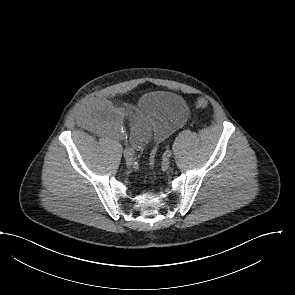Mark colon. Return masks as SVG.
Returning a JSON list of instances; mask_svg holds the SVG:
<instances>
[{"mask_svg": "<svg viewBox=\"0 0 295 295\" xmlns=\"http://www.w3.org/2000/svg\"><path fill=\"white\" fill-rule=\"evenodd\" d=\"M206 105H207V101L203 98H200L196 101V106L199 108H203ZM156 156H157V150L153 149L150 153V158H149L151 164H153L155 162Z\"/></svg>", "mask_w": 295, "mask_h": 295, "instance_id": "obj_1", "label": "colon"}]
</instances>
